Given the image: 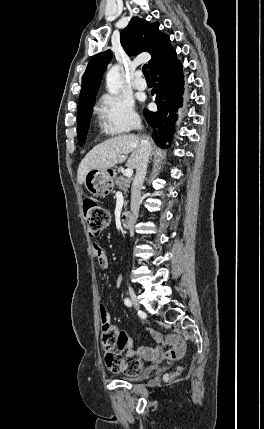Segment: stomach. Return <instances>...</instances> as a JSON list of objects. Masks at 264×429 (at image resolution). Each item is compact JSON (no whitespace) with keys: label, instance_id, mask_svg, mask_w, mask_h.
I'll return each mask as SVG.
<instances>
[{"label":"stomach","instance_id":"obj_1","mask_svg":"<svg viewBox=\"0 0 264 429\" xmlns=\"http://www.w3.org/2000/svg\"><path fill=\"white\" fill-rule=\"evenodd\" d=\"M115 171L112 169H93L85 177L86 189L96 197H105L114 188Z\"/></svg>","mask_w":264,"mask_h":429}]
</instances>
